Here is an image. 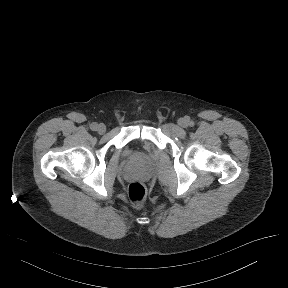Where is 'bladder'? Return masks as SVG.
<instances>
[{"instance_id": "1", "label": "bladder", "mask_w": 288, "mask_h": 288, "mask_svg": "<svg viewBox=\"0 0 288 288\" xmlns=\"http://www.w3.org/2000/svg\"><path fill=\"white\" fill-rule=\"evenodd\" d=\"M143 147L145 148L146 151L150 152L154 148V145L150 142H144ZM130 150H131L130 146L125 148V151H130Z\"/></svg>"}]
</instances>
